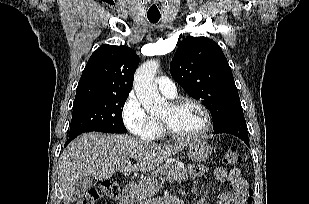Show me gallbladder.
I'll return each mask as SVG.
<instances>
[{"label":"gallbladder","mask_w":309,"mask_h":204,"mask_svg":"<svg viewBox=\"0 0 309 204\" xmlns=\"http://www.w3.org/2000/svg\"><path fill=\"white\" fill-rule=\"evenodd\" d=\"M92 185V179L88 176L80 177L76 184L72 195V200H78Z\"/></svg>","instance_id":"1"}]
</instances>
